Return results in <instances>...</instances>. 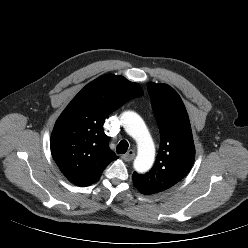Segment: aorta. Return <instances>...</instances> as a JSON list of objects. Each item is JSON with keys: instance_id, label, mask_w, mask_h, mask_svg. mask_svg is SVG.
<instances>
[{"instance_id": "aorta-1", "label": "aorta", "mask_w": 248, "mask_h": 248, "mask_svg": "<svg viewBox=\"0 0 248 248\" xmlns=\"http://www.w3.org/2000/svg\"><path fill=\"white\" fill-rule=\"evenodd\" d=\"M125 131L136 141L138 154L134 168L140 173L147 172L155 159V146L143 119L135 112L127 111L122 116Z\"/></svg>"}]
</instances>
